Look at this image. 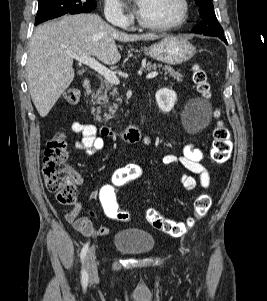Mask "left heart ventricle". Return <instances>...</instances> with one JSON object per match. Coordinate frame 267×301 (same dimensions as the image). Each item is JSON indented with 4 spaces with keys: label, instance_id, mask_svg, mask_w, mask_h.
<instances>
[{
    "label": "left heart ventricle",
    "instance_id": "1",
    "mask_svg": "<svg viewBox=\"0 0 267 301\" xmlns=\"http://www.w3.org/2000/svg\"><path fill=\"white\" fill-rule=\"evenodd\" d=\"M139 16L152 24L176 21L181 13L179 0H138Z\"/></svg>",
    "mask_w": 267,
    "mask_h": 301
}]
</instances>
